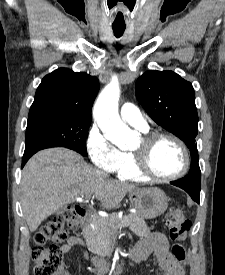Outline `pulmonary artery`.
Here are the masks:
<instances>
[{
	"label": "pulmonary artery",
	"instance_id": "e3ab8cb5",
	"mask_svg": "<svg viewBox=\"0 0 225 275\" xmlns=\"http://www.w3.org/2000/svg\"><path fill=\"white\" fill-rule=\"evenodd\" d=\"M120 115L123 120L139 129H147V123L139 109L131 102L124 103L120 108Z\"/></svg>",
	"mask_w": 225,
	"mask_h": 275
}]
</instances>
